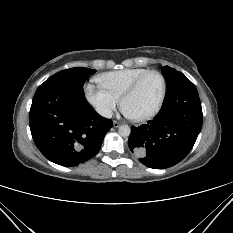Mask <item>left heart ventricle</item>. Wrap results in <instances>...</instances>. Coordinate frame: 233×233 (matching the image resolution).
I'll use <instances>...</instances> for the list:
<instances>
[{
	"label": "left heart ventricle",
	"instance_id": "b2bd125f",
	"mask_svg": "<svg viewBox=\"0 0 233 233\" xmlns=\"http://www.w3.org/2000/svg\"><path fill=\"white\" fill-rule=\"evenodd\" d=\"M162 81L156 74L148 75L141 83L137 91L129 96L124 109L132 116H143L152 111L161 96Z\"/></svg>",
	"mask_w": 233,
	"mask_h": 233
}]
</instances>
